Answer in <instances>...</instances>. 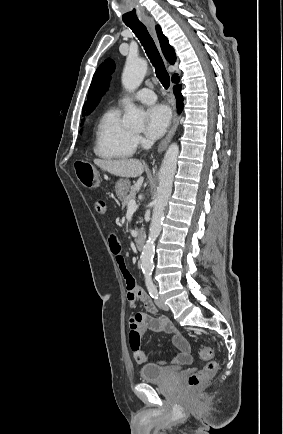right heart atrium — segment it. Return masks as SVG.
Returning <instances> with one entry per match:
<instances>
[{
    "mask_svg": "<svg viewBox=\"0 0 283 434\" xmlns=\"http://www.w3.org/2000/svg\"><path fill=\"white\" fill-rule=\"evenodd\" d=\"M133 140L136 146H144L145 145V140L140 136V135H133Z\"/></svg>",
    "mask_w": 283,
    "mask_h": 434,
    "instance_id": "d8ad5b80",
    "label": "right heart atrium"
}]
</instances>
